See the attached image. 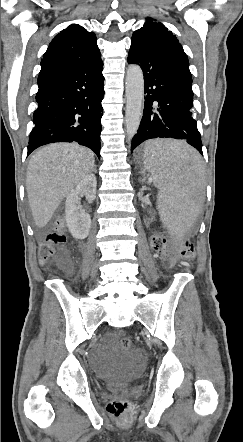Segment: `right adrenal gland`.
<instances>
[{
    "instance_id": "obj_1",
    "label": "right adrenal gland",
    "mask_w": 243,
    "mask_h": 442,
    "mask_svg": "<svg viewBox=\"0 0 243 442\" xmlns=\"http://www.w3.org/2000/svg\"><path fill=\"white\" fill-rule=\"evenodd\" d=\"M93 171L96 172L95 168H93Z\"/></svg>"
}]
</instances>
